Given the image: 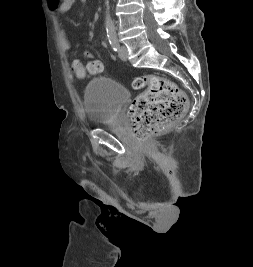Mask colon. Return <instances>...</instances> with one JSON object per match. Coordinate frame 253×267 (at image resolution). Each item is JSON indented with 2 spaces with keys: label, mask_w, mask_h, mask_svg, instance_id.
I'll list each match as a JSON object with an SVG mask.
<instances>
[{
  "label": "colon",
  "mask_w": 253,
  "mask_h": 267,
  "mask_svg": "<svg viewBox=\"0 0 253 267\" xmlns=\"http://www.w3.org/2000/svg\"><path fill=\"white\" fill-rule=\"evenodd\" d=\"M84 56L88 59V72H102V63L95 59L90 51H85ZM71 71L79 78L85 76V68L78 61L72 63ZM133 86L136 89H144L128 110L131 132L142 142L164 131L187 110L188 100L185 93L175 83L162 76L137 77Z\"/></svg>",
  "instance_id": "5ec220e1"
}]
</instances>
